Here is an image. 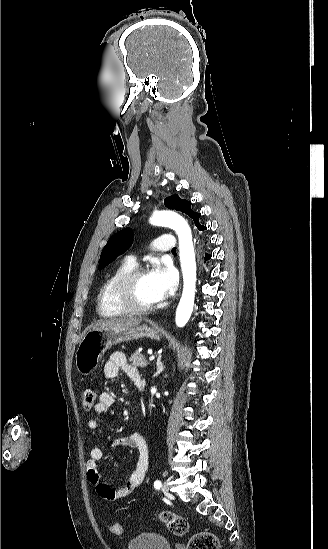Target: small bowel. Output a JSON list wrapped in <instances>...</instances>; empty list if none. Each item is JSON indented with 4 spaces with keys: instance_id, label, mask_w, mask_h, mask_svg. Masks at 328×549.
Instances as JSON below:
<instances>
[{
    "instance_id": "1",
    "label": "small bowel",
    "mask_w": 328,
    "mask_h": 549,
    "mask_svg": "<svg viewBox=\"0 0 328 549\" xmlns=\"http://www.w3.org/2000/svg\"><path fill=\"white\" fill-rule=\"evenodd\" d=\"M120 371H123L132 381L136 376H140L137 368L128 362L124 353L114 352L106 361L103 368V373L106 378L112 379L117 377ZM114 401V396L111 393L102 392L99 395L98 401L94 405V412L97 414L105 413L113 405ZM87 427L91 431H97L99 429L98 420L90 419L87 422ZM119 447H127L138 453L135 467L127 477L123 486L114 488L102 480L98 462L103 457V452L99 447H93L90 450V457L86 464L87 476L91 484L94 486L95 492L101 499L108 502L124 499L131 495L143 482L148 470V445L141 433L135 431L127 436L116 439L112 443V448Z\"/></svg>"
}]
</instances>
